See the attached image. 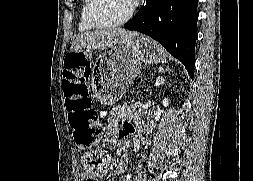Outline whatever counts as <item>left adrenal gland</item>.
I'll return each instance as SVG.
<instances>
[{
	"instance_id": "1",
	"label": "left adrenal gland",
	"mask_w": 253,
	"mask_h": 181,
	"mask_svg": "<svg viewBox=\"0 0 253 181\" xmlns=\"http://www.w3.org/2000/svg\"><path fill=\"white\" fill-rule=\"evenodd\" d=\"M166 71H169V72H170L171 70H170L169 68H167Z\"/></svg>"
}]
</instances>
